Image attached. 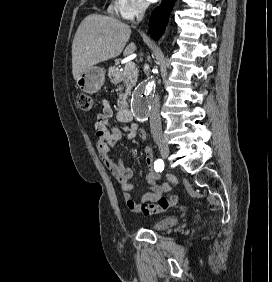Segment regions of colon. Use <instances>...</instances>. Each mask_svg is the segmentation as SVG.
<instances>
[{
	"mask_svg": "<svg viewBox=\"0 0 272 282\" xmlns=\"http://www.w3.org/2000/svg\"><path fill=\"white\" fill-rule=\"evenodd\" d=\"M76 103L81 111L88 112L93 109L94 101L92 97L86 93H78L76 96ZM177 203L176 196L160 198L155 203H145L141 209L144 215H153L161 213Z\"/></svg>",
	"mask_w": 272,
	"mask_h": 282,
	"instance_id": "5ec220e1",
	"label": "colon"
}]
</instances>
